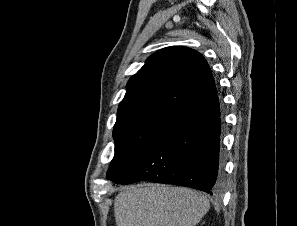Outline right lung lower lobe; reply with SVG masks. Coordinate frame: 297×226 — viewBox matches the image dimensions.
Here are the masks:
<instances>
[{
    "label": "right lung lower lobe",
    "instance_id": "98d812e1",
    "mask_svg": "<svg viewBox=\"0 0 297 226\" xmlns=\"http://www.w3.org/2000/svg\"><path fill=\"white\" fill-rule=\"evenodd\" d=\"M221 112L217 94L180 109L115 183L151 181L216 194L221 176Z\"/></svg>",
    "mask_w": 297,
    "mask_h": 226
}]
</instances>
